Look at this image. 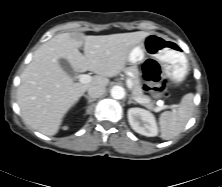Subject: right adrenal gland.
<instances>
[{"instance_id": "right-adrenal-gland-1", "label": "right adrenal gland", "mask_w": 222, "mask_h": 187, "mask_svg": "<svg viewBox=\"0 0 222 187\" xmlns=\"http://www.w3.org/2000/svg\"><path fill=\"white\" fill-rule=\"evenodd\" d=\"M84 97L88 100V103L90 104V103H92V102H94L96 99H93V98H90V97H88L87 95H84ZM87 113H88V110H87Z\"/></svg>"}]
</instances>
